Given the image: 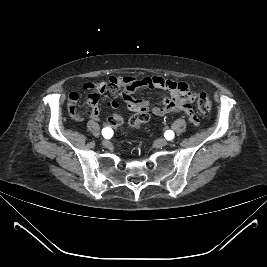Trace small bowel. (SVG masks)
<instances>
[{"instance_id": "c3829d8e", "label": "small bowel", "mask_w": 267, "mask_h": 267, "mask_svg": "<svg viewBox=\"0 0 267 267\" xmlns=\"http://www.w3.org/2000/svg\"><path fill=\"white\" fill-rule=\"evenodd\" d=\"M143 87L155 88L165 92L158 105L151 106L148 101L135 100L131 97V94L136 89ZM84 88L90 91L87 97V114L93 119L99 117L98 101L100 94H106L108 104L112 108L118 107L116 98H120L130 107L145 108L157 116L181 112L186 115L194 126L199 124V119L191 106V103L196 98V93L186 82L174 81L159 76L145 78L110 77L108 83L86 84ZM78 100L79 96L75 92L68 97V107L72 116L76 119H80V115L76 111Z\"/></svg>"}]
</instances>
